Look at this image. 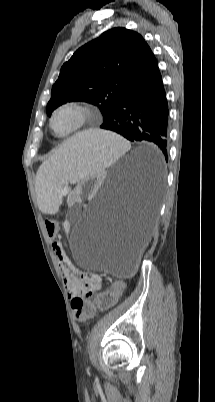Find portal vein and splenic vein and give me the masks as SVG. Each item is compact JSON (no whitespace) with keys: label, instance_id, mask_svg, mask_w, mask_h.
I'll return each mask as SVG.
<instances>
[{"label":"portal vein and splenic vein","instance_id":"18ae733b","mask_svg":"<svg viewBox=\"0 0 215 402\" xmlns=\"http://www.w3.org/2000/svg\"><path fill=\"white\" fill-rule=\"evenodd\" d=\"M67 191L66 190H62V193H66Z\"/></svg>","mask_w":215,"mask_h":402}]
</instances>
